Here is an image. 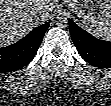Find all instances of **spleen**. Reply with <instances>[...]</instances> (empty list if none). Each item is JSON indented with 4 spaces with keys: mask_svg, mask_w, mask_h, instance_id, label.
Instances as JSON below:
<instances>
[{
    "mask_svg": "<svg viewBox=\"0 0 111 106\" xmlns=\"http://www.w3.org/2000/svg\"><path fill=\"white\" fill-rule=\"evenodd\" d=\"M86 28L94 36L111 41V15L103 19H92L90 22L86 23Z\"/></svg>",
    "mask_w": 111,
    "mask_h": 106,
    "instance_id": "1",
    "label": "spleen"
}]
</instances>
